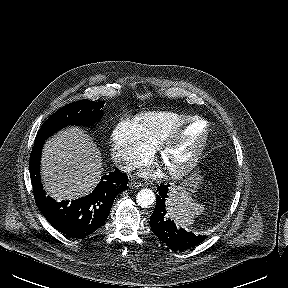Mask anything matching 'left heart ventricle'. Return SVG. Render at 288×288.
Wrapping results in <instances>:
<instances>
[{
	"instance_id": "b2bd125f",
	"label": "left heart ventricle",
	"mask_w": 288,
	"mask_h": 288,
	"mask_svg": "<svg viewBox=\"0 0 288 288\" xmlns=\"http://www.w3.org/2000/svg\"><path fill=\"white\" fill-rule=\"evenodd\" d=\"M204 128V125L200 122H194L187 127L161 160L166 169L180 165L190 156L195 146L200 141Z\"/></svg>"
}]
</instances>
